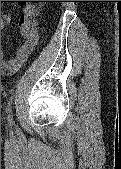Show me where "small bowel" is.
<instances>
[{"label": "small bowel", "instance_id": "obj_1", "mask_svg": "<svg viewBox=\"0 0 121 169\" xmlns=\"http://www.w3.org/2000/svg\"><path fill=\"white\" fill-rule=\"evenodd\" d=\"M34 15L35 9L33 7L28 6L24 9L19 19L22 43L13 56L1 61V72L3 74L16 72L34 50L38 42V24ZM10 21L11 15L4 13L1 18V27L4 28Z\"/></svg>", "mask_w": 121, "mask_h": 169}]
</instances>
